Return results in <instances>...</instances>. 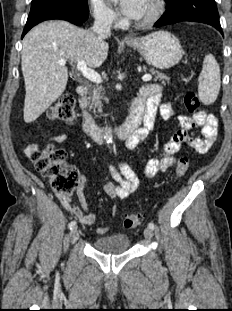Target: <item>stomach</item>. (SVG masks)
Returning <instances> with one entry per match:
<instances>
[{"label":"stomach","mask_w":232,"mask_h":311,"mask_svg":"<svg viewBox=\"0 0 232 311\" xmlns=\"http://www.w3.org/2000/svg\"><path fill=\"white\" fill-rule=\"evenodd\" d=\"M150 65L159 69L175 66L182 59L183 49L177 37L167 31H157L145 37L127 42Z\"/></svg>","instance_id":"obj_1"}]
</instances>
